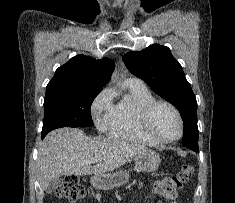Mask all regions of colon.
I'll return each instance as SVG.
<instances>
[{
    "mask_svg": "<svg viewBox=\"0 0 235 203\" xmlns=\"http://www.w3.org/2000/svg\"><path fill=\"white\" fill-rule=\"evenodd\" d=\"M192 172V167L186 165L178 174L170 177H164L156 181L153 185L154 193L166 200L175 199L178 191L188 181L189 177L192 175ZM55 195L58 198L77 201L83 197L84 188L76 176L67 175L63 178L62 184L56 189Z\"/></svg>",
    "mask_w": 235,
    "mask_h": 203,
    "instance_id": "obj_1",
    "label": "colon"
}]
</instances>
